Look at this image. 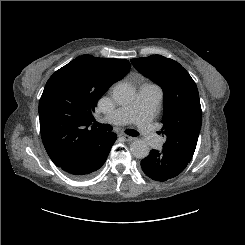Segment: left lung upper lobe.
Masks as SVG:
<instances>
[{
	"label": "left lung upper lobe",
	"instance_id": "1",
	"mask_svg": "<svg viewBox=\"0 0 245 245\" xmlns=\"http://www.w3.org/2000/svg\"><path fill=\"white\" fill-rule=\"evenodd\" d=\"M131 63L163 90L162 134L167 137L163 147L190 161L202 122L199 93L194 80L178 62L161 55L131 59Z\"/></svg>",
	"mask_w": 245,
	"mask_h": 245
}]
</instances>
